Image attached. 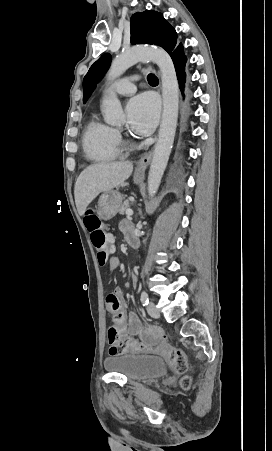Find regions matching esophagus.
<instances>
[{
  "label": "esophagus",
  "instance_id": "esophagus-1",
  "mask_svg": "<svg viewBox=\"0 0 272 451\" xmlns=\"http://www.w3.org/2000/svg\"><path fill=\"white\" fill-rule=\"evenodd\" d=\"M151 159H152V153L151 152L146 153L144 156H142L140 158V160L138 161L137 170L139 172L144 173V171L146 170L147 166L150 164Z\"/></svg>",
  "mask_w": 272,
  "mask_h": 451
}]
</instances>
